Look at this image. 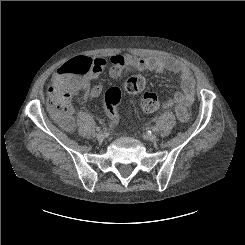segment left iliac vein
<instances>
[{"label": "left iliac vein", "mask_w": 245, "mask_h": 245, "mask_svg": "<svg viewBox=\"0 0 245 245\" xmlns=\"http://www.w3.org/2000/svg\"><path fill=\"white\" fill-rule=\"evenodd\" d=\"M146 140H149L151 142H154L157 140V136L156 135H146L145 136Z\"/></svg>", "instance_id": "obj_1"}]
</instances>
